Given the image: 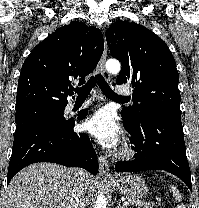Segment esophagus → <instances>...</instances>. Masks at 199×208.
<instances>
[{
	"instance_id": "34e87169",
	"label": "esophagus",
	"mask_w": 199,
	"mask_h": 208,
	"mask_svg": "<svg viewBox=\"0 0 199 208\" xmlns=\"http://www.w3.org/2000/svg\"><path fill=\"white\" fill-rule=\"evenodd\" d=\"M106 58H107V44L106 41L104 43V52L103 55L99 61L98 64V70L101 72V74L103 75V77L106 80H109L110 77L105 69V63H106ZM98 161H99V170H100V174L104 177H112L111 173H110V168H109V163L106 160V158L104 156H102L101 154L98 155Z\"/></svg>"
}]
</instances>
